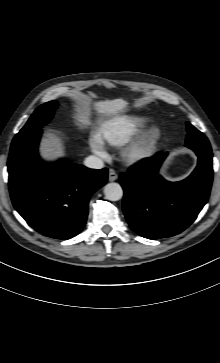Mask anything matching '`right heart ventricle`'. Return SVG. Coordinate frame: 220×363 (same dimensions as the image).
<instances>
[{"label":"right heart ventricle","mask_w":220,"mask_h":363,"mask_svg":"<svg viewBox=\"0 0 220 363\" xmlns=\"http://www.w3.org/2000/svg\"><path fill=\"white\" fill-rule=\"evenodd\" d=\"M148 124L147 119L137 115H120L106 121L100 128V138L114 147H120L138 133Z\"/></svg>","instance_id":"1"}]
</instances>
